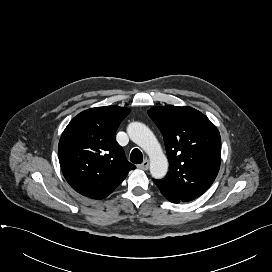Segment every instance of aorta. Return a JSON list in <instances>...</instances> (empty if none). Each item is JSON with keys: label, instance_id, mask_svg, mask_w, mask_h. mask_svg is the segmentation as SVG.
I'll list each match as a JSON object with an SVG mask.
<instances>
[{"label": "aorta", "instance_id": "1", "mask_svg": "<svg viewBox=\"0 0 272 272\" xmlns=\"http://www.w3.org/2000/svg\"><path fill=\"white\" fill-rule=\"evenodd\" d=\"M127 133L148 154L152 177L163 178L168 171V160L153 132L143 123L132 122L127 127Z\"/></svg>", "mask_w": 272, "mask_h": 272}]
</instances>
